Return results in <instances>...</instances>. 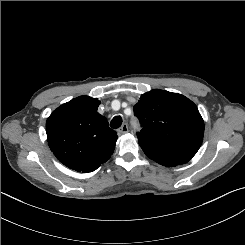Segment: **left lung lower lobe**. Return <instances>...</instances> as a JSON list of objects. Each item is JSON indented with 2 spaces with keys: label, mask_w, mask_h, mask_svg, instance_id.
Wrapping results in <instances>:
<instances>
[{
  "label": "left lung lower lobe",
  "mask_w": 245,
  "mask_h": 245,
  "mask_svg": "<svg viewBox=\"0 0 245 245\" xmlns=\"http://www.w3.org/2000/svg\"><path fill=\"white\" fill-rule=\"evenodd\" d=\"M139 145L141 146L146 156L166 167H174L177 165H181L188 162L191 159L183 155L174 154L161 150L144 142H139Z\"/></svg>",
  "instance_id": "1"
}]
</instances>
